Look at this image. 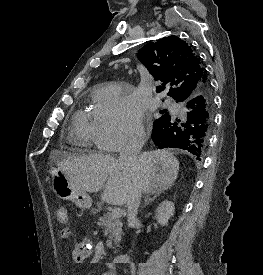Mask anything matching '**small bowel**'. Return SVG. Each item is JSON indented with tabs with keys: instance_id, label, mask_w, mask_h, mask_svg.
Wrapping results in <instances>:
<instances>
[{
	"instance_id": "obj_1",
	"label": "small bowel",
	"mask_w": 263,
	"mask_h": 275,
	"mask_svg": "<svg viewBox=\"0 0 263 275\" xmlns=\"http://www.w3.org/2000/svg\"><path fill=\"white\" fill-rule=\"evenodd\" d=\"M71 230L69 228H64L61 231V236L67 239L71 236ZM93 252V245L90 239L83 238L79 240L71 251V260L76 264L85 262ZM101 275H116L114 267L107 265L104 272Z\"/></svg>"
}]
</instances>
